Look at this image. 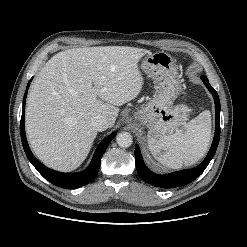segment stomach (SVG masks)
Wrapping results in <instances>:
<instances>
[{
	"label": "stomach",
	"mask_w": 247,
	"mask_h": 247,
	"mask_svg": "<svg viewBox=\"0 0 247 247\" xmlns=\"http://www.w3.org/2000/svg\"><path fill=\"white\" fill-rule=\"evenodd\" d=\"M141 68L154 79L157 91L149 102L133 113L131 119L141 131L148 128V136L171 134L185 123L188 116L187 107L174 105L182 87L174 60L163 51L156 52L143 59Z\"/></svg>",
	"instance_id": "stomach-1"
}]
</instances>
